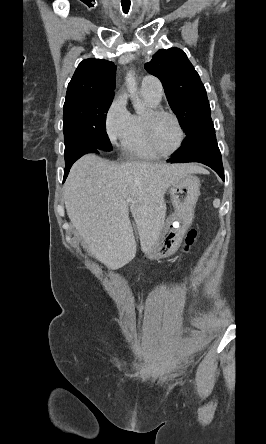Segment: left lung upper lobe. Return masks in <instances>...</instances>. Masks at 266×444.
Returning <instances> with one entry per match:
<instances>
[{
    "instance_id": "5c2ea615",
    "label": "left lung upper lobe",
    "mask_w": 266,
    "mask_h": 444,
    "mask_svg": "<svg viewBox=\"0 0 266 444\" xmlns=\"http://www.w3.org/2000/svg\"><path fill=\"white\" fill-rule=\"evenodd\" d=\"M145 69L161 80L169 105L187 135L212 121L205 87L181 49L159 50Z\"/></svg>"
}]
</instances>
